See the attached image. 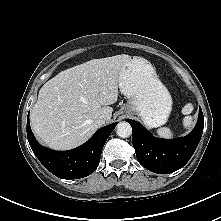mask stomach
Here are the masks:
<instances>
[{
	"mask_svg": "<svg viewBox=\"0 0 221 221\" xmlns=\"http://www.w3.org/2000/svg\"><path fill=\"white\" fill-rule=\"evenodd\" d=\"M119 88L128 101L127 115H138L150 128L165 124L172 110V98L159 80L152 64L141 57H130L119 73Z\"/></svg>",
	"mask_w": 221,
	"mask_h": 221,
	"instance_id": "obj_1",
	"label": "stomach"
}]
</instances>
